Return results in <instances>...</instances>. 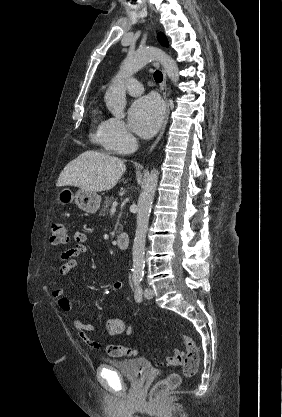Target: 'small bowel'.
<instances>
[{"label": "small bowel", "instance_id": "obj_1", "mask_svg": "<svg viewBox=\"0 0 282 417\" xmlns=\"http://www.w3.org/2000/svg\"><path fill=\"white\" fill-rule=\"evenodd\" d=\"M75 245L72 249L62 254L64 261L58 268V273L61 276L67 275L71 270L77 267L78 257L85 254L87 251L86 242L88 240V234L85 230H78L74 234ZM124 288V283L120 280H116L112 283L111 289L113 292H121ZM52 298L56 300L59 308L64 312H69L72 309V303L67 298L65 290L63 288H55L52 290ZM73 329L77 333L78 337L87 345L95 350L102 348V344L98 341L91 340L88 336L89 332L96 331V326L93 324H85L79 319H75L72 322ZM105 328L109 336H116L124 334L130 336L132 333L131 326L119 318L108 319L105 322Z\"/></svg>", "mask_w": 282, "mask_h": 417}]
</instances>
